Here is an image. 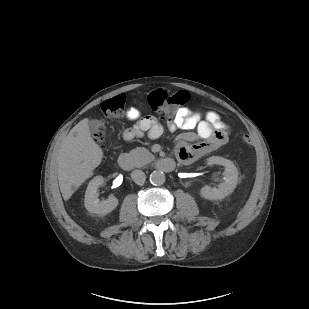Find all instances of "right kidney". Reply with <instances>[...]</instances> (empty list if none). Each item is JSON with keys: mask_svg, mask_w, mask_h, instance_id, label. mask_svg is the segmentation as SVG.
Listing matches in <instances>:
<instances>
[{"mask_svg": "<svg viewBox=\"0 0 309 309\" xmlns=\"http://www.w3.org/2000/svg\"><path fill=\"white\" fill-rule=\"evenodd\" d=\"M104 183L102 176L94 177L88 184L85 192L84 205L91 212L104 216L112 212L118 205V199L114 196H109L106 200L98 198V187Z\"/></svg>", "mask_w": 309, "mask_h": 309, "instance_id": "obj_1", "label": "right kidney"}]
</instances>
